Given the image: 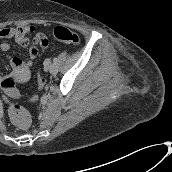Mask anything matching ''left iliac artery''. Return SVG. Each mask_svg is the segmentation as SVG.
<instances>
[{"label":"left iliac artery","instance_id":"obj_1","mask_svg":"<svg viewBox=\"0 0 172 172\" xmlns=\"http://www.w3.org/2000/svg\"><path fill=\"white\" fill-rule=\"evenodd\" d=\"M57 61H58V59H57V58H54V59H53V62H54V63H56Z\"/></svg>","mask_w":172,"mask_h":172}]
</instances>
